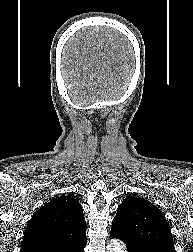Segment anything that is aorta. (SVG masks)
<instances>
[{"label": "aorta", "instance_id": "aorta-1", "mask_svg": "<svg viewBox=\"0 0 193 252\" xmlns=\"http://www.w3.org/2000/svg\"><path fill=\"white\" fill-rule=\"evenodd\" d=\"M107 252H127L125 244L119 239H112L107 244Z\"/></svg>", "mask_w": 193, "mask_h": 252}]
</instances>
